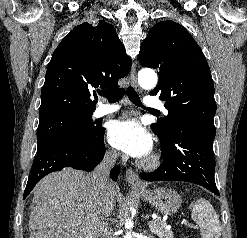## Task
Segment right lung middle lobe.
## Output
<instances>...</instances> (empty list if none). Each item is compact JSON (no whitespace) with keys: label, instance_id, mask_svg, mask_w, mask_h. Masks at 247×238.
Wrapping results in <instances>:
<instances>
[{"label":"right lung middle lobe","instance_id":"1","mask_svg":"<svg viewBox=\"0 0 247 238\" xmlns=\"http://www.w3.org/2000/svg\"><path fill=\"white\" fill-rule=\"evenodd\" d=\"M92 113L62 115L40 121L37 129V150L66 139L89 140L99 130L92 120Z\"/></svg>","mask_w":247,"mask_h":238}]
</instances>
